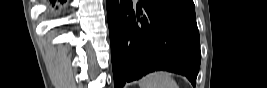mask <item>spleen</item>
Returning <instances> with one entry per match:
<instances>
[{"label": "spleen", "mask_w": 267, "mask_h": 88, "mask_svg": "<svg viewBox=\"0 0 267 88\" xmlns=\"http://www.w3.org/2000/svg\"><path fill=\"white\" fill-rule=\"evenodd\" d=\"M140 88H179L168 72L156 71L139 80Z\"/></svg>", "instance_id": "3e777b00"}]
</instances>
